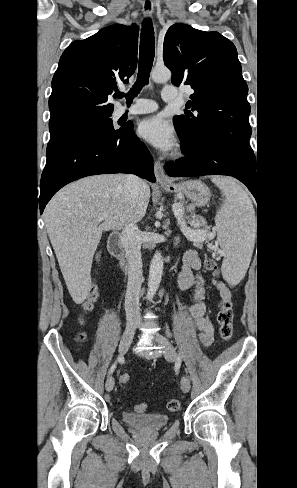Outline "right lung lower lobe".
I'll return each mask as SVG.
<instances>
[{
	"label": "right lung lower lobe",
	"mask_w": 297,
	"mask_h": 488,
	"mask_svg": "<svg viewBox=\"0 0 297 488\" xmlns=\"http://www.w3.org/2000/svg\"><path fill=\"white\" fill-rule=\"evenodd\" d=\"M152 161L150 152L135 135L133 127L69 142L47 157L40 181V214L60 188L82 177L132 173L155 182Z\"/></svg>",
	"instance_id": "right-lung-lower-lobe-1"
}]
</instances>
